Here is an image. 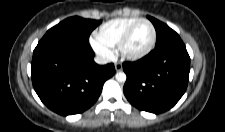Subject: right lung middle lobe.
<instances>
[{
	"instance_id": "right-lung-middle-lobe-1",
	"label": "right lung middle lobe",
	"mask_w": 225,
	"mask_h": 132,
	"mask_svg": "<svg viewBox=\"0 0 225 132\" xmlns=\"http://www.w3.org/2000/svg\"><path fill=\"white\" fill-rule=\"evenodd\" d=\"M100 23V20L70 17L49 29L42 39L61 38L89 42L90 33Z\"/></svg>"
}]
</instances>
